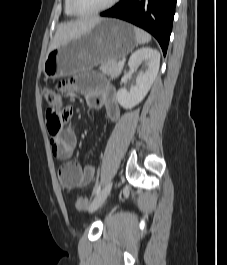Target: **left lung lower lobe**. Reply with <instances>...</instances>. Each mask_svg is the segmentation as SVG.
Here are the masks:
<instances>
[{"instance_id":"obj_1","label":"left lung lower lobe","mask_w":227,"mask_h":265,"mask_svg":"<svg viewBox=\"0 0 227 265\" xmlns=\"http://www.w3.org/2000/svg\"><path fill=\"white\" fill-rule=\"evenodd\" d=\"M176 1L121 0L114 7L100 13V15L119 18L145 29L158 40L164 55H166Z\"/></svg>"}]
</instances>
